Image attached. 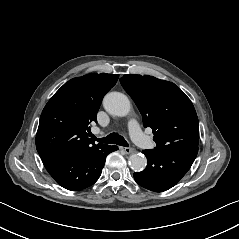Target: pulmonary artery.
Returning <instances> with one entry per match:
<instances>
[{"instance_id": "pulmonary-artery-1", "label": "pulmonary artery", "mask_w": 239, "mask_h": 239, "mask_svg": "<svg viewBox=\"0 0 239 239\" xmlns=\"http://www.w3.org/2000/svg\"><path fill=\"white\" fill-rule=\"evenodd\" d=\"M92 132L94 134H97L99 132V130L97 128H93ZM129 135H130V138L136 144H139L140 141L145 137V135L143 134V132L140 129V126L138 125V123L136 121H131L130 122V125H129Z\"/></svg>"}]
</instances>
